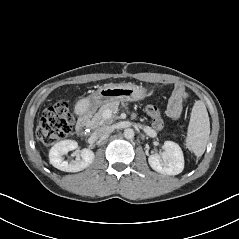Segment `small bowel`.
I'll return each instance as SVG.
<instances>
[{"mask_svg": "<svg viewBox=\"0 0 239 239\" xmlns=\"http://www.w3.org/2000/svg\"><path fill=\"white\" fill-rule=\"evenodd\" d=\"M184 93L181 88H177L173 96L171 97L167 106V115L172 119H177L182 112V101Z\"/></svg>", "mask_w": 239, "mask_h": 239, "instance_id": "c3829d8e", "label": "small bowel"}]
</instances>
